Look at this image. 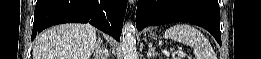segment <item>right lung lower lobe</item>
<instances>
[{
  "label": "right lung lower lobe",
  "mask_w": 261,
  "mask_h": 59,
  "mask_svg": "<svg viewBox=\"0 0 261 59\" xmlns=\"http://www.w3.org/2000/svg\"><path fill=\"white\" fill-rule=\"evenodd\" d=\"M127 0H37L32 40L44 29L62 23H90L120 40Z\"/></svg>",
  "instance_id": "98d812e1"
}]
</instances>
